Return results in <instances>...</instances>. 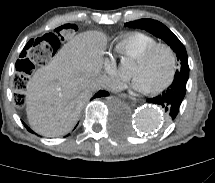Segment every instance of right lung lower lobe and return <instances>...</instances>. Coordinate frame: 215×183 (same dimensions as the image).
<instances>
[{
  "mask_svg": "<svg viewBox=\"0 0 215 183\" xmlns=\"http://www.w3.org/2000/svg\"><path fill=\"white\" fill-rule=\"evenodd\" d=\"M108 95H109L108 92H106V91H104V90H100L99 92H97V93L94 95L93 98H96V97H103V96H108ZM24 125H25V124H24ZM25 127H26L30 132H33V131H31L30 128H28L26 125H25Z\"/></svg>",
  "mask_w": 215,
  "mask_h": 183,
  "instance_id": "98d812e1",
  "label": "right lung lower lobe"
}]
</instances>
